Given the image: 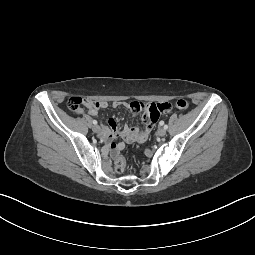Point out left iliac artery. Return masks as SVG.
Masks as SVG:
<instances>
[{
    "instance_id": "obj_1",
    "label": "left iliac artery",
    "mask_w": 255,
    "mask_h": 255,
    "mask_svg": "<svg viewBox=\"0 0 255 255\" xmlns=\"http://www.w3.org/2000/svg\"><path fill=\"white\" fill-rule=\"evenodd\" d=\"M164 129H168V125H164Z\"/></svg>"
}]
</instances>
